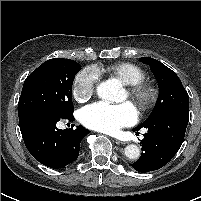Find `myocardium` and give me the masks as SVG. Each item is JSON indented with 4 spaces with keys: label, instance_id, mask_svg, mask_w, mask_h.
<instances>
[{
    "label": "myocardium",
    "instance_id": "myocardium-1",
    "mask_svg": "<svg viewBox=\"0 0 201 201\" xmlns=\"http://www.w3.org/2000/svg\"><path fill=\"white\" fill-rule=\"evenodd\" d=\"M127 91L130 99L140 111L150 109L156 99L153 87L143 81L128 85Z\"/></svg>",
    "mask_w": 201,
    "mask_h": 201
}]
</instances>
